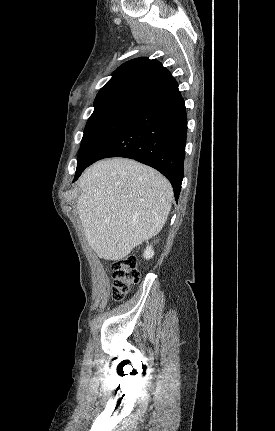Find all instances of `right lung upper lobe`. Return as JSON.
I'll list each match as a JSON object with an SVG mask.
<instances>
[{
  "mask_svg": "<svg viewBox=\"0 0 275 431\" xmlns=\"http://www.w3.org/2000/svg\"><path fill=\"white\" fill-rule=\"evenodd\" d=\"M178 87L171 73L157 60L140 57L118 67L94 101L93 114L116 110H138Z\"/></svg>",
  "mask_w": 275,
  "mask_h": 431,
  "instance_id": "right-lung-upper-lobe-1",
  "label": "right lung upper lobe"
}]
</instances>
